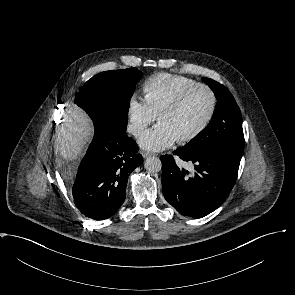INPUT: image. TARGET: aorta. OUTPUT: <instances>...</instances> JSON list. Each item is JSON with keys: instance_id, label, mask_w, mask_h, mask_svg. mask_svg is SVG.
I'll return each mask as SVG.
<instances>
[{"instance_id": "obj_1", "label": "aorta", "mask_w": 295, "mask_h": 295, "mask_svg": "<svg viewBox=\"0 0 295 295\" xmlns=\"http://www.w3.org/2000/svg\"><path fill=\"white\" fill-rule=\"evenodd\" d=\"M144 167L150 173L159 172L162 168L161 160L158 157H149L146 159Z\"/></svg>"}]
</instances>
